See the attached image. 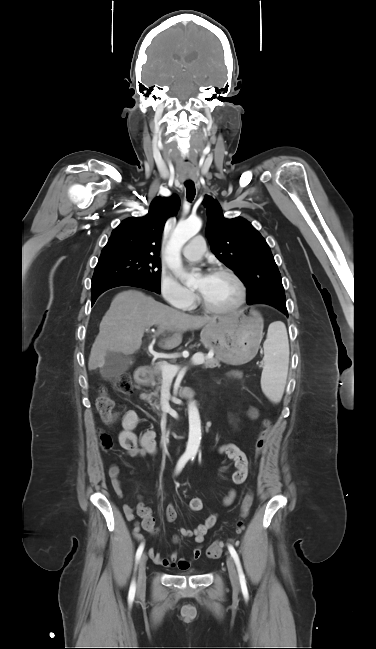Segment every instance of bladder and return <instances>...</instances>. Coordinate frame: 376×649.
<instances>
[{
  "label": "bladder",
  "mask_w": 376,
  "mask_h": 649,
  "mask_svg": "<svg viewBox=\"0 0 376 649\" xmlns=\"http://www.w3.org/2000/svg\"><path fill=\"white\" fill-rule=\"evenodd\" d=\"M193 572H194V570H189V571H188V573H193Z\"/></svg>",
  "instance_id": "obj_1"
}]
</instances>
